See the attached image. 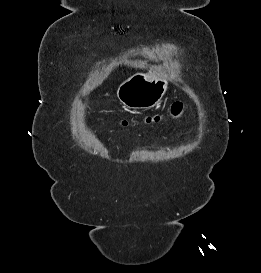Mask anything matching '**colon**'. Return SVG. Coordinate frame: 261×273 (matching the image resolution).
<instances>
[{
  "instance_id": "obj_1",
  "label": "colon",
  "mask_w": 261,
  "mask_h": 273,
  "mask_svg": "<svg viewBox=\"0 0 261 273\" xmlns=\"http://www.w3.org/2000/svg\"><path fill=\"white\" fill-rule=\"evenodd\" d=\"M183 110V104L181 102H175L172 104V106L170 107V114L173 116H178ZM160 119L159 115H153V116H149L147 117L146 121L148 123H153V122H158Z\"/></svg>"
}]
</instances>
